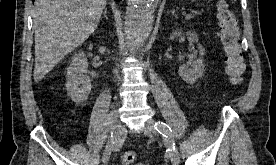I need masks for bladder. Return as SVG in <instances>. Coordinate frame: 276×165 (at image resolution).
Returning <instances> with one entry per match:
<instances>
[{
    "instance_id": "obj_1",
    "label": "bladder",
    "mask_w": 276,
    "mask_h": 165,
    "mask_svg": "<svg viewBox=\"0 0 276 165\" xmlns=\"http://www.w3.org/2000/svg\"><path fill=\"white\" fill-rule=\"evenodd\" d=\"M136 165H145V164H136Z\"/></svg>"
}]
</instances>
